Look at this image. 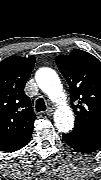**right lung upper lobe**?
<instances>
[{"label": "right lung upper lobe", "instance_id": "cb5924a9", "mask_svg": "<svg viewBox=\"0 0 101 180\" xmlns=\"http://www.w3.org/2000/svg\"><path fill=\"white\" fill-rule=\"evenodd\" d=\"M35 57L10 56L0 63V148L16 151L31 135L35 113L24 86Z\"/></svg>", "mask_w": 101, "mask_h": 180}]
</instances>
